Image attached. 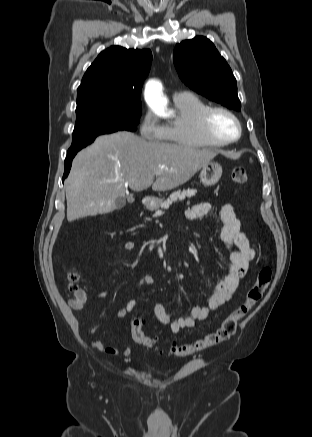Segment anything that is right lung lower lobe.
Returning a JSON list of instances; mask_svg holds the SVG:
<instances>
[{"label": "right lung lower lobe", "mask_w": 312, "mask_h": 437, "mask_svg": "<svg viewBox=\"0 0 312 437\" xmlns=\"http://www.w3.org/2000/svg\"><path fill=\"white\" fill-rule=\"evenodd\" d=\"M76 154H77V152L67 154V157L65 159V171H64V175H63V180L68 176V174L70 172L71 165H72V159L74 158V156Z\"/></svg>", "instance_id": "1"}]
</instances>
